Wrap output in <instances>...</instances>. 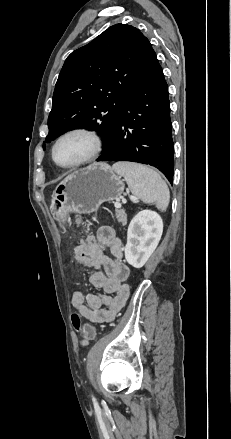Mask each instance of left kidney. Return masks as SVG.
<instances>
[{
    "label": "left kidney",
    "instance_id": "5707ae66",
    "mask_svg": "<svg viewBox=\"0 0 231 439\" xmlns=\"http://www.w3.org/2000/svg\"><path fill=\"white\" fill-rule=\"evenodd\" d=\"M163 232L161 216L151 210H142L131 220L124 249L125 259L141 268L155 251Z\"/></svg>",
    "mask_w": 231,
    "mask_h": 439
}]
</instances>
